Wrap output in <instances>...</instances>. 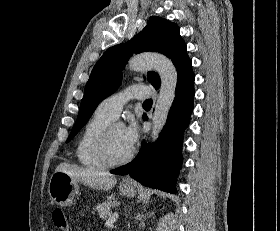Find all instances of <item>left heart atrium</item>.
Listing matches in <instances>:
<instances>
[{"mask_svg":"<svg viewBox=\"0 0 280 231\" xmlns=\"http://www.w3.org/2000/svg\"><path fill=\"white\" fill-rule=\"evenodd\" d=\"M139 139V129L135 122H131L128 125L122 126L121 129V141L124 148L131 152Z\"/></svg>","mask_w":280,"mask_h":231,"instance_id":"1","label":"left heart atrium"}]
</instances>
